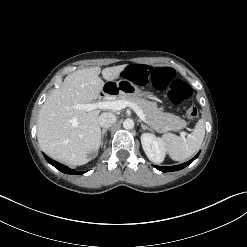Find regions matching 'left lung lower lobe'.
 <instances>
[{
  "instance_id": "obj_1",
  "label": "left lung lower lobe",
  "mask_w": 247,
  "mask_h": 247,
  "mask_svg": "<svg viewBox=\"0 0 247 247\" xmlns=\"http://www.w3.org/2000/svg\"><path fill=\"white\" fill-rule=\"evenodd\" d=\"M200 153V152H199ZM199 153L194 157L192 158L190 161L188 162H185L183 164H180V165H176V166H168V167H164V166H155V168H157L158 170L162 171V172H171V171H177V170H180V169H183L185 168L186 166H188L192 161H194Z\"/></svg>"
}]
</instances>
